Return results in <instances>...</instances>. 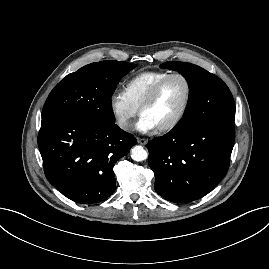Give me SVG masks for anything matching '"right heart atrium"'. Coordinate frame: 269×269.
<instances>
[{
    "label": "right heart atrium",
    "mask_w": 269,
    "mask_h": 269,
    "mask_svg": "<svg viewBox=\"0 0 269 269\" xmlns=\"http://www.w3.org/2000/svg\"><path fill=\"white\" fill-rule=\"evenodd\" d=\"M109 109L115 124L121 130H128L138 109L129 101L124 91L115 90L109 97Z\"/></svg>",
    "instance_id": "obj_1"
}]
</instances>
